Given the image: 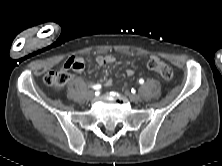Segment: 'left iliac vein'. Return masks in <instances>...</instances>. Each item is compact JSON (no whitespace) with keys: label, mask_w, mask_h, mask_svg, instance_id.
Listing matches in <instances>:
<instances>
[{"label":"left iliac vein","mask_w":222,"mask_h":166,"mask_svg":"<svg viewBox=\"0 0 222 166\" xmlns=\"http://www.w3.org/2000/svg\"><path fill=\"white\" fill-rule=\"evenodd\" d=\"M125 94L132 102H138L140 100V97L137 94H132L128 91H126Z\"/></svg>","instance_id":"obj_1"}]
</instances>
